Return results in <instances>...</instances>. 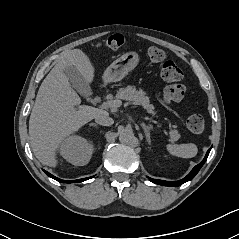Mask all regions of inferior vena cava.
Instances as JSON below:
<instances>
[{"instance_id": "inferior-vena-cava-1", "label": "inferior vena cava", "mask_w": 239, "mask_h": 239, "mask_svg": "<svg viewBox=\"0 0 239 239\" xmlns=\"http://www.w3.org/2000/svg\"><path fill=\"white\" fill-rule=\"evenodd\" d=\"M95 122L102 126H111L114 120L109 117L108 112L102 111L100 114L95 116Z\"/></svg>"}]
</instances>
